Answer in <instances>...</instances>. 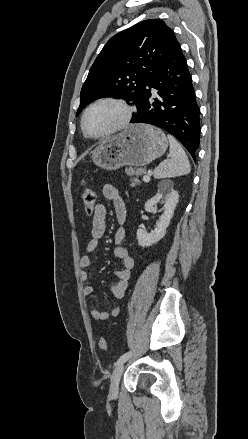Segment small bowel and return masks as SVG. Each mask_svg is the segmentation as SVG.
I'll return each instance as SVG.
<instances>
[{
	"mask_svg": "<svg viewBox=\"0 0 248 439\" xmlns=\"http://www.w3.org/2000/svg\"><path fill=\"white\" fill-rule=\"evenodd\" d=\"M104 197L113 203L117 221L120 225H123L127 217L126 204L117 190L113 185L106 184L103 187ZM106 207L98 203L95 206L94 214L91 223V238L87 242L86 252L88 254L93 253L97 250L99 242L103 237L106 230ZM126 238V230L123 226H120L114 235L116 247L114 249L115 257L121 262L122 267L116 269L114 274L117 280L111 286V294L114 299H122L129 285V280L131 277V270L134 267V259L129 254V251L122 244ZM91 265V259L89 255H84L80 258V280L82 282H87L89 279L88 272L86 269ZM93 293V287L89 284H85L82 287V294L84 296H90ZM120 313V307L114 306L110 311H101L98 308H92L90 314L95 320H107L112 317L118 316Z\"/></svg>",
	"mask_w": 248,
	"mask_h": 439,
	"instance_id": "obj_1",
	"label": "small bowel"
}]
</instances>
